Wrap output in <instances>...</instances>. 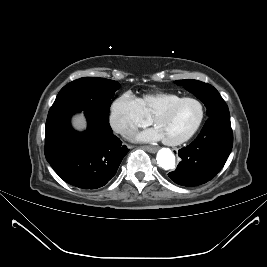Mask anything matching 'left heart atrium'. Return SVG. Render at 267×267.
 I'll list each match as a JSON object with an SVG mask.
<instances>
[{
    "instance_id": "left-heart-atrium-1",
    "label": "left heart atrium",
    "mask_w": 267,
    "mask_h": 267,
    "mask_svg": "<svg viewBox=\"0 0 267 267\" xmlns=\"http://www.w3.org/2000/svg\"><path fill=\"white\" fill-rule=\"evenodd\" d=\"M135 138L139 141H157L163 137L157 128H152L137 134Z\"/></svg>"
}]
</instances>
